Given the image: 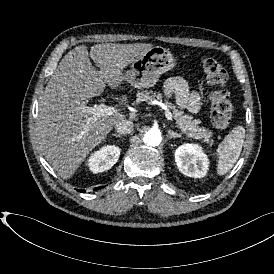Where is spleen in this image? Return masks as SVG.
Returning <instances> with one entry per match:
<instances>
[{
	"label": "spleen",
	"mask_w": 274,
	"mask_h": 274,
	"mask_svg": "<svg viewBox=\"0 0 274 274\" xmlns=\"http://www.w3.org/2000/svg\"><path fill=\"white\" fill-rule=\"evenodd\" d=\"M244 138L245 128L242 125H237L216 148V155L218 156L217 175H225L237 162L242 151Z\"/></svg>",
	"instance_id": "3e777b00"
}]
</instances>
